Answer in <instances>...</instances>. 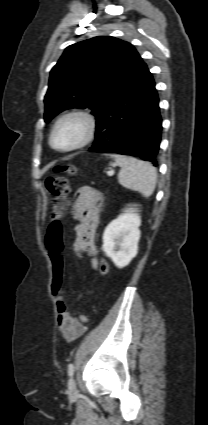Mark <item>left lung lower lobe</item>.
<instances>
[{"label":"left lung lower lobe","mask_w":208,"mask_h":425,"mask_svg":"<svg viewBox=\"0 0 208 425\" xmlns=\"http://www.w3.org/2000/svg\"><path fill=\"white\" fill-rule=\"evenodd\" d=\"M161 123L155 82L144 63L102 110L89 150L138 156L157 166Z\"/></svg>","instance_id":"obj_1"}]
</instances>
